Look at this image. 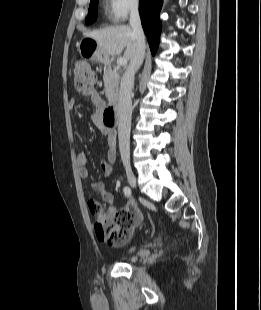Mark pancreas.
I'll return each instance as SVG.
<instances>
[{
  "mask_svg": "<svg viewBox=\"0 0 261 310\" xmlns=\"http://www.w3.org/2000/svg\"><path fill=\"white\" fill-rule=\"evenodd\" d=\"M106 97L109 100H115L118 92L120 75L116 70H107L103 75Z\"/></svg>",
  "mask_w": 261,
  "mask_h": 310,
  "instance_id": "1",
  "label": "pancreas"
}]
</instances>
